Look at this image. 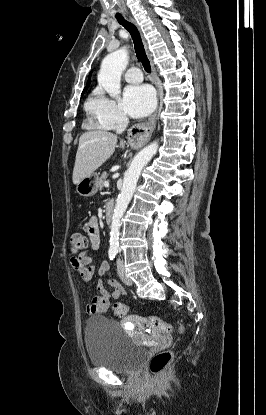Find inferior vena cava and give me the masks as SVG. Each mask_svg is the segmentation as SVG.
Here are the masks:
<instances>
[{
    "instance_id": "1",
    "label": "inferior vena cava",
    "mask_w": 266,
    "mask_h": 415,
    "mask_svg": "<svg viewBox=\"0 0 266 415\" xmlns=\"http://www.w3.org/2000/svg\"><path fill=\"white\" fill-rule=\"evenodd\" d=\"M128 122L129 121L126 117H122L116 125V133H122L126 129Z\"/></svg>"
}]
</instances>
